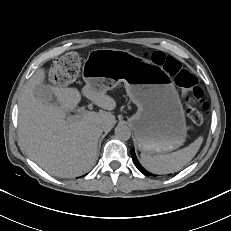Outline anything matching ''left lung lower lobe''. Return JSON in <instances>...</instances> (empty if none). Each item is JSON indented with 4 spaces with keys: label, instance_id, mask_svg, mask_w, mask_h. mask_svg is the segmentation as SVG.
Returning a JSON list of instances; mask_svg holds the SVG:
<instances>
[{
    "label": "left lung lower lobe",
    "instance_id": "left-lung-lower-lobe-1",
    "mask_svg": "<svg viewBox=\"0 0 231 231\" xmlns=\"http://www.w3.org/2000/svg\"><path fill=\"white\" fill-rule=\"evenodd\" d=\"M131 156H132V159L136 165V167L142 172L144 173L145 175H151L149 172H147L141 165L140 163L138 162L136 156H135V153H134V150L132 149L131 150Z\"/></svg>",
    "mask_w": 231,
    "mask_h": 231
}]
</instances>
